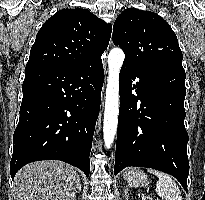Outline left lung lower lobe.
Returning <instances> with one entry per match:
<instances>
[{"mask_svg":"<svg viewBox=\"0 0 205 200\" xmlns=\"http://www.w3.org/2000/svg\"><path fill=\"white\" fill-rule=\"evenodd\" d=\"M185 78L176 63L140 70L122 66L115 175L127 166L149 167L173 175L187 191Z\"/></svg>","mask_w":205,"mask_h":200,"instance_id":"1","label":"left lung lower lobe"}]
</instances>
